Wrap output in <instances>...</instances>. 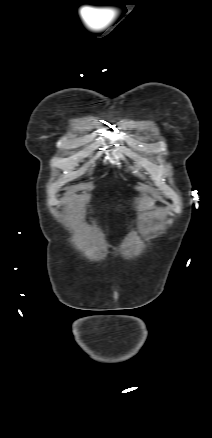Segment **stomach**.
I'll list each match as a JSON object with an SVG mask.
<instances>
[{
	"label": "stomach",
	"mask_w": 212,
	"mask_h": 438,
	"mask_svg": "<svg viewBox=\"0 0 212 438\" xmlns=\"http://www.w3.org/2000/svg\"><path fill=\"white\" fill-rule=\"evenodd\" d=\"M164 212V208L158 205H153L149 208V211L147 213L148 218H155L158 215L162 214Z\"/></svg>",
	"instance_id": "1"
}]
</instances>
